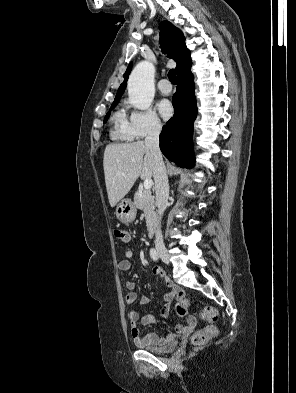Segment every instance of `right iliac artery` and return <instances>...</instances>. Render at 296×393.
<instances>
[{
    "label": "right iliac artery",
    "instance_id": "obj_1",
    "mask_svg": "<svg viewBox=\"0 0 296 393\" xmlns=\"http://www.w3.org/2000/svg\"><path fill=\"white\" fill-rule=\"evenodd\" d=\"M150 256H151V258H152L154 261H158V260H159L158 253H157V251H156L154 248H152V249L150 250Z\"/></svg>",
    "mask_w": 296,
    "mask_h": 393
}]
</instances>
